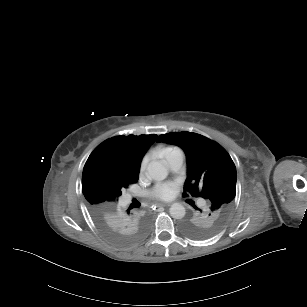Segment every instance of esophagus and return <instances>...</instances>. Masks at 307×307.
Here are the masks:
<instances>
[{
    "mask_svg": "<svg viewBox=\"0 0 307 307\" xmlns=\"http://www.w3.org/2000/svg\"><path fill=\"white\" fill-rule=\"evenodd\" d=\"M154 207L159 208V207H164L165 205L162 203H155L153 204Z\"/></svg>",
    "mask_w": 307,
    "mask_h": 307,
    "instance_id": "esophagus-1",
    "label": "esophagus"
}]
</instances>
